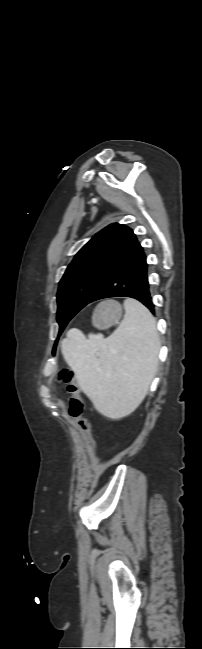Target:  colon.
Instances as JSON below:
<instances>
[{"instance_id":"1","label":"colon","mask_w":202,"mask_h":649,"mask_svg":"<svg viewBox=\"0 0 202 649\" xmlns=\"http://www.w3.org/2000/svg\"><path fill=\"white\" fill-rule=\"evenodd\" d=\"M59 379L65 384L66 392L69 395V415L75 421L78 431L85 436L89 443H92L91 424L89 420L84 417V401L74 372L68 367H63L59 372Z\"/></svg>"}]
</instances>
